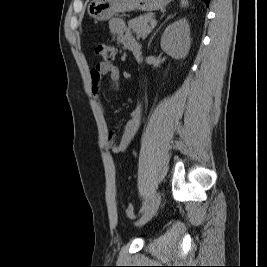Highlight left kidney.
Here are the masks:
<instances>
[{
	"label": "left kidney",
	"mask_w": 267,
	"mask_h": 267,
	"mask_svg": "<svg viewBox=\"0 0 267 267\" xmlns=\"http://www.w3.org/2000/svg\"><path fill=\"white\" fill-rule=\"evenodd\" d=\"M190 46V27L185 18L168 25L161 36V49L174 59L185 58Z\"/></svg>",
	"instance_id": "obj_1"
}]
</instances>
